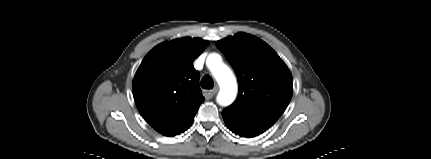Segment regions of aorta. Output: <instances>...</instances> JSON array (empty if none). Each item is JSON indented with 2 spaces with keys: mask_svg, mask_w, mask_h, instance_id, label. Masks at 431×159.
Wrapping results in <instances>:
<instances>
[{
  "mask_svg": "<svg viewBox=\"0 0 431 159\" xmlns=\"http://www.w3.org/2000/svg\"><path fill=\"white\" fill-rule=\"evenodd\" d=\"M206 63L220 86L217 95L218 104L230 105L235 100L237 93V82L232 71L222 63L221 56L218 54H210Z\"/></svg>",
  "mask_w": 431,
  "mask_h": 159,
  "instance_id": "762f6f07",
  "label": "aorta"
}]
</instances>
